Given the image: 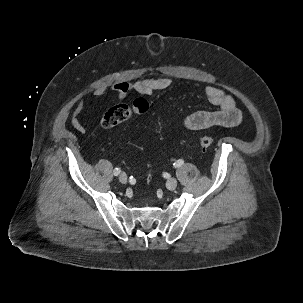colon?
Wrapping results in <instances>:
<instances>
[{
	"label": "colon",
	"instance_id": "1",
	"mask_svg": "<svg viewBox=\"0 0 303 303\" xmlns=\"http://www.w3.org/2000/svg\"><path fill=\"white\" fill-rule=\"evenodd\" d=\"M150 105L144 98H137L131 104H118L108 109L101 118V126L105 129L115 127L117 124L127 120L133 115L145 114ZM214 143L210 135H200L199 144L203 149L209 148Z\"/></svg>",
	"mask_w": 303,
	"mask_h": 303
}]
</instances>
